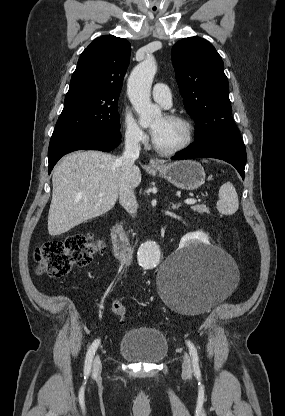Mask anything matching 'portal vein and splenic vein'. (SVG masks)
Segmentation results:
<instances>
[{"label": "portal vein and splenic vein", "instance_id": "obj_1", "mask_svg": "<svg viewBox=\"0 0 285 416\" xmlns=\"http://www.w3.org/2000/svg\"><path fill=\"white\" fill-rule=\"evenodd\" d=\"M99 196H104V194H99ZM197 200H193V198H191V200H185V204H196Z\"/></svg>", "mask_w": 285, "mask_h": 416}]
</instances>
